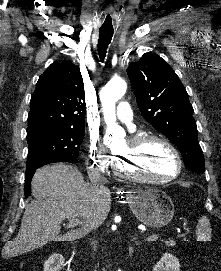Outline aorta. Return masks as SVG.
I'll return each instance as SVG.
<instances>
[{
  "mask_svg": "<svg viewBox=\"0 0 221 271\" xmlns=\"http://www.w3.org/2000/svg\"><path fill=\"white\" fill-rule=\"evenodd\" d=\"M127 84L123 79L110 80L101 91L100 100L103 108L105 122L111 133L121 132L122 129L116 124L115 105L124 96Z\"/></svg>",
  "mask_w": 221,
  "mask_h": 271,
  "instance_id": "762f6f07",
  "label": "aorta"
}]
</instances>
